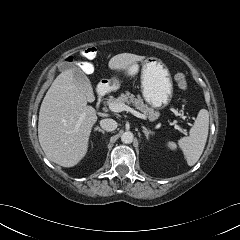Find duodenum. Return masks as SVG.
I'll return each instance as SVG.
<instances>
[{"label":"duodenum","mask_w":240,"mask_h":240,"mask_svg":"<svg viewBox=\"0 0 240 240\" xmlns=\"http://www.w3.org/2000/svg\"><path fill=\"white\" fill-rule=\"evenodd\" d=\"M109 85L107 83H102L97 88V96H98V104L105 97V95L109 92Z\"/></svg>","instance_id":"1"}]
</instances>
